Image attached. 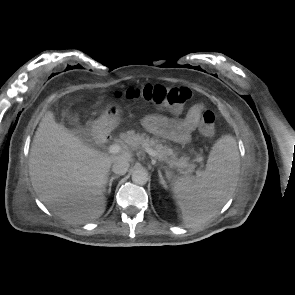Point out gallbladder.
Listing matches in <instances>:
<instances>
[{
  "label": "gallbladder",
  "instance_id": "gallbladder-1",
  "mask_svg": "<svg viewBox=\"0 0 295 295\" xmlns=\"http://www.w3.org/2000/svg\"><path fill=\"white\" fill-rule=\"evenodd\" d=\"M65 114L67 115V113H65ZM67 116H68V115H67ZM68 118H69L70 120H73V121L75 120V119H73V118H70V116H68Z\"/></svg>",
  "mask_w": 295,
  "mask_h": 295
}]
</instances>
